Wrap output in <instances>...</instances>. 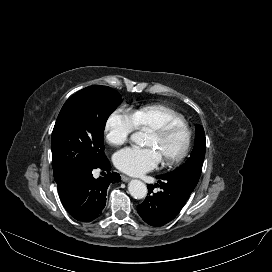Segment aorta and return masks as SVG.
<instances>
[{
	"label": "aorta",
	"instance_id": "1",
	"mask_svg": "<svg viewBox=\"0 0 272 272\" xmlns=\"http://www.w3.org/2000/svg\"><path fill=\"white\" fill-rule=\"evenodd\" d=\"M131 141L137 145L143 144V134L141 132H136L131 135ZM128 191L132 197L135 199H143L147 195V187L145 183L140 180H132L128 185Z\"/></svg>",
	"mask_w": 272,
	"mask_h": 272
}]
</instances>
